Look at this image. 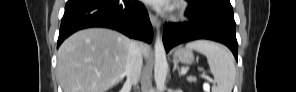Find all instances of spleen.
<instances>
[{
  "instance_id": "obj_1",
  "label": "spleen",
  "mask_w": 296,
  "mask_h": 92,
  "mask_svg": "<svg viewBox=\"0 0 296 92\" xmlns=\"http://www.w3.org/2000/svg\"><path fill=\"white\" fill-rule=\"evenodd\" d=\"M189 50H195L206 56L210 70L217 83L213 92H231L235 81V65L231 52L223 45L206 40L186 44Z\"/></svg>"
}]
</instances>
